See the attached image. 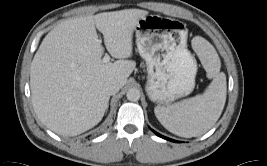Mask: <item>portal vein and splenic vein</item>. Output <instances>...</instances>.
<instances>
[{"instance_id": "1", "label": "portal vein and splenic vein", "mask_w": 267, "mask_h": 166, "mask_svg": "<svg viewBox=\"0 0 267 166\" xmlns=\"http://www.w3.org/2000/svg\"><path fill=\"white\" fill-rule=\"evenodd\" d=\"M102 61L104 63H108L110 61V56L108 54H105V56L103 57Z\"/></svg>"}]
</instances>
